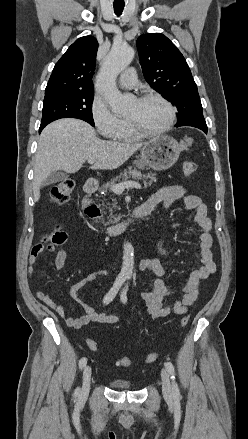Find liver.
<instances>
[{
  "label": "liver",
  "mask_w": 248,
  "mask_h": 439,
  "mask_svg": "<svg viewBox=\"0 0 248 439\" xmlns=\"http://www.w3.org/2000/svg\"><path fill=\"white\" fill-rule=\"evenodd\" d=\"M144 145L101 140L92 126L79 119L64 118L50 123L40 134L34 158V201L39 200L40 187L51 173H75L89 159L96 162L93 169L113 170Z\"/></svg>",
  "instance_id": "obj_1"
}]
</instances>
